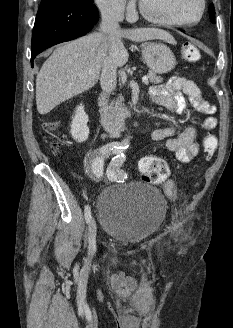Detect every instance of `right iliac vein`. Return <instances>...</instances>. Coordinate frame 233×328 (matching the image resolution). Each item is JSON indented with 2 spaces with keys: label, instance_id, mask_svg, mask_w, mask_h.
<instances>
[{
  "label": "right iliac vein",
  "instance_id": "right-iliac-vein-1",
  "mask_svg": "<svg viewBox=\"0 0 233 328\" xmlns=\"http://www.w3.org/2000/svg\"><path fill=\"white\" fill-rule=\"evenodd\" d=\"M96 235H97V226L96 222L91 219L89 223V231H88V254L89 257H92L96 251Z\"/></svg>",
  "mask_w": 233,
  "mask_h": 328
}]
</instances>
